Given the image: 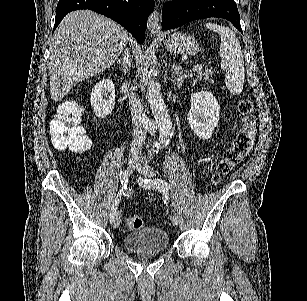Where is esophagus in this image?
Wrapping results in <instances>:
<instances>
[{"label": "esophagus", "instance_id": "obj_1", "mask_svg": "<svg viewBox=\"0 0 307 301\" xmlns=\"http://www.w3.org/2000/svg\"><path fill=\"white\" fill-rule=\"evenodd\" d=\"M147 28L153 35L161 34L160 13L159 10H154L148 18Z\"/></svg>", "mask_w": 307, "mask_h": 301}]
</instances>
